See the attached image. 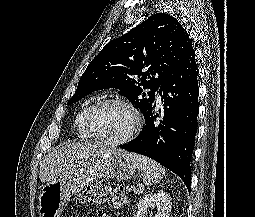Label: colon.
<instances>
[{"label":"colon","instance_id":"1","mask_svg":"<svg viewBox=\"0 0 255 217\" xmlns=\"http://www.w3.org/2000/svg\"><path fill=\"white\" fill-rule=\"evenodd\" d=\"M77 201L82 204H107L112 208H120L127 204V196L121 186L111 185L106 181H100L84 189L78 195Z\"/></svg>","mask_w":255,"mask_h":217}]
</instances>
